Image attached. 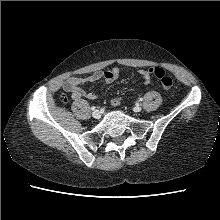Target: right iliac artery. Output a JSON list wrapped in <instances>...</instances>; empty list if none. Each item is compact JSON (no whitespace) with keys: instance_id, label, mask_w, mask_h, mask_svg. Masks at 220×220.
I'll use <instances>...</instances> for the list:
<instances>
[{"instance_id":"82829eb1","label":"right iliac artery","mask_w":220,"mask_h":220,"mask_svg":"<svg viewBox=\"0 0 220 220\" xmlns=\"http://www.w3.org/2000/svg\"><path fill=\"white\" fill-rule=\"evenodd\" d=\"M91 110H92V111H94V110H95V107H94V106H92V107H91Z\"/></svg>"}]
</instances>
